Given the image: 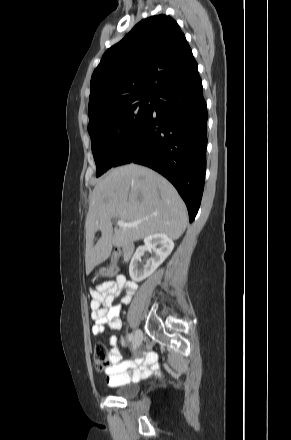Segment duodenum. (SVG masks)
Wrapping results in <instances>:
<instances>
[{
  "instance_id": "obj_1",
  "label": "duodenum",
  "mask_w": 291,
  "mask_h": 440,
  "mask_svg": "<svg viewBox=\"0 0 291 440\" xmlns=\"http://www.w3.org/2000/svg\"><path fill=\"white\" fill-rule=\"evenodd\" d=\"M122 251L125 257H130L134 251L132 243L126 242L122 245Z\"/></svg>"
}]
</instances>
